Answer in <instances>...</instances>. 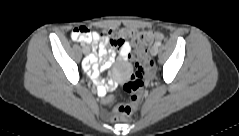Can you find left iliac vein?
Wrapping results in <instances>:
<instances>
[{
	"label": "left iliac vein",
	"mask_w": 239,
	"mask_h": 136,
	"mask_svg": "<svg viewBox=\"0 0 239 136\" xmlns=\"http://www.w3.org/2000/svg\"><path fill=\"white\" fill-rule=\"evenodd\" d=\"M150 53L155 56L158 53V47L155 45L151 48Z\"/></svg>",
	"instance_id": "1"
}]
</instances>
